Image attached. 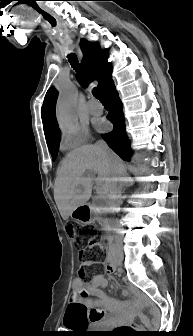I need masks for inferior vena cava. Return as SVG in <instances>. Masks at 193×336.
Listing matches in <instances>:
<instances>
[{
	"mask_svg": "<svg viewBox=\"0 0 193 336\" xmlns=\"http://www.w3.org/2000/svg\"><path fill=\"white\" fill-rule=\"evenodd\" d=\"M96 146L104 155H107L108 147L104 142L100 141ZM109 167L112 169L114 166L111 164ZM113 169L116 171L118 168L115 166ZM120 194L121 192L117 186V180H114L109 191V199L113 206H119L121 204Z\"/></svg>",
	"mask_w": 193,
	"mask_h": 336,
	"instance_id": "602c4592",
	"label": "inferior vena cava"
}]
</instances>
